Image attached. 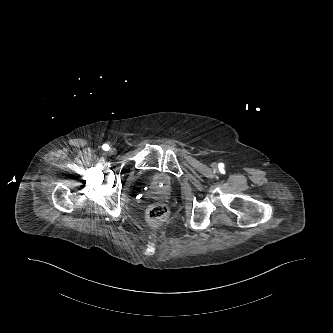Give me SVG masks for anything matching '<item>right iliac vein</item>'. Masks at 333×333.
<instances>
[{"mask_svg": "<svg viewBox=\"0 0 333 333\" xmlns=\"http://www.w3.org/2000/svg\"><path fill=\"white\" fill-rule=\"evenodd\" d=\"M109 152H110V154L115 155L117 153V150H116V148L112 147V148H110Z\"/></svg>", "mask_w": 333, "mask_h": 333, "instance_id": "1", "label": "right iliac vein"}]
</instances>
